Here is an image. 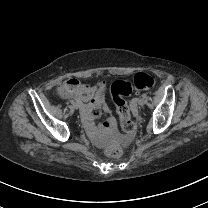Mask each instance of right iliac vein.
<instances>
[{"mask_svg": "<svg viewBox=\"0 0 208 208\" xmlns=\"http://www.w3.org/2000/svg\"><path fill=\"white\" fill-rule=\"evenodd\" d=\"M73 107H74L75 109H78V108H79L78 103H75V104L73 105Z\"/></svg>", "mask_w": 208, "mask_h": 208, "instance_id": "63e3f726", "label": "right iliac vein"}]
</instances>
